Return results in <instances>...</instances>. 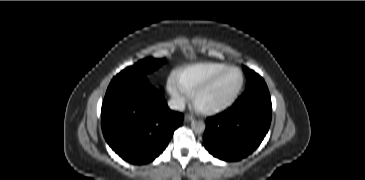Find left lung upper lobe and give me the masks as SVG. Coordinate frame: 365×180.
<instances>
[{"label": "left lung upper lobe", "mask_w": 365, "mask_h": 180, "mask_svg": "<svg viewBox=\"0 0 365 180\" xmlns=\"http://www.w3.org/2000/svg\"><path fill=\"white\" fill-rule=\"evenodd\" d=\"M243 70L247 77L246 88H250L259 83H264L263 78L261 76H259L257 73H255L253 70H250L245 66H243Z\"/></svg>", "instance_id": "5c2ea615"}]
</instances>
